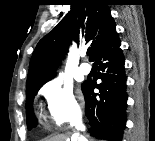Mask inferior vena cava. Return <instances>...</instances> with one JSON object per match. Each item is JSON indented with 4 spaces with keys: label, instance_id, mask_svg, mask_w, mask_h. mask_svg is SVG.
<instances>
[{
    "label": "inferior vena cava",
    "instance_id": "1",
    "mask_svg": "<svg viewBox=\"0 0 155 141\" xmlns=\"http://www.w3.org/2000/svg\"><path fill=\"white\" fill-rule=\"evenodd\" d=\"M77 128L80 129V130L83 129V127L81 125H78Z\"/></svg>",
    "mask_w": 155,
    "mask_h": 141
}]
</instances>
